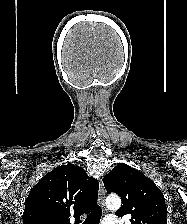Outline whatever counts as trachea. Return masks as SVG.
<instances>
[{
  "instance_id": "3493384b",
  "label": "trachea",
  "mask_w": 187,
  "mask_h": 224,
  "mask_svg": "<svg viewBox=\"0 0 187 224\" xmlns=\"http://www.w3.org/2000/svg\"><path fill=\"white\" fill-rule=\"evenodd\" d=\"M101 216H102V209L100 208L99 205H96L92 209L89 216L84 221V224H99Z\"/></svg>"
}]
</instances>
